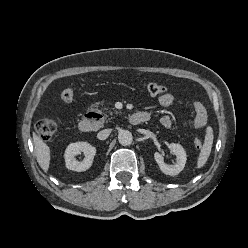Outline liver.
Here are the masks:
<instances>
[{
  "mask_svg": "<svg viewBox=\"0 0 248 248\" xmlns=\"http://www.w3.org/2000/svg\"><path fill=\"white\" fill-rule=\"evenodd\" d=\"M33 143L37 162L47 172L50 165V148L36 133H33Z\"/></svg>",
  "mask_w": 248,
  "mask_h": 248,
  "instance_id": "liver-1",
  "label": "liver"
}]
</instances>
